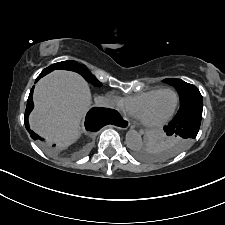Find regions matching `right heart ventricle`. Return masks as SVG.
<instances>
[{"instance_id": "right-heart-ventricle-1", "label": "right heart ventricle", "mask_w": 225, "mask_h": 225, "mask_svg": "<svg viewBox=\"0 0 225 225\" xmlns=\"http://www.w3.org/2000/svg\"><path fill=\"white\" fill-rule=\"evenodd\" d=\"M161 88L149 89L139 92L135 95L124 98L122 102L123 110L128 114L138 117L143 106L152 98Z\"/></svg>"}]
</instances>
